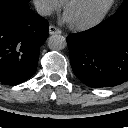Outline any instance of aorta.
I'll return each mask as SVG.
<instances>
[{
    "instance_id": "1",
    "label": "aorta",
    "mask_w": 128,
    "mask_h": 128,
    "mask_svg": "<svg viewBox=\"0 0 128 128\" xmlns=\"http://www.w3.org/2000/svg\"><path fill=\"white\" fill-rule=\"evenodd\" d=\"M48 47L51 50L59 51L66 47V39L60 34H53L48 38L47 41Z\"/></svg>"
}]
</instances>
